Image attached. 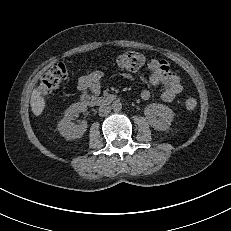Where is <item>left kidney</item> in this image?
<instances>
[{
  "mask_svg": "<svg viewBox=\"0 0 231 231\" xmlns=\"http://www.w3.org/2000/svg\"><path fill=\"white\" fill-rule=\"evenodd\" d=\"M144 114L149 124L156 130L165 131L171 125L173 119V111L163 104L152 103L148 105Z\"/></svg>",
  "mask_w": 231,
  "mask_h": 231,
  "instance_id": "1",
  "label": "left kidney"
}]
</instances>
